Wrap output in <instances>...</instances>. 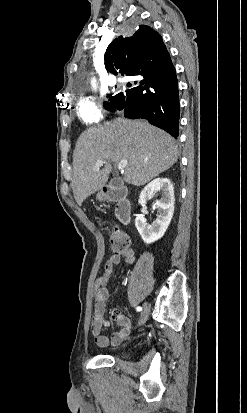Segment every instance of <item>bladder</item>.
<instances>
[{
    "label": "bladder",
    "instance_id": "1",
    "mask_svg": "<svg viewBox=\"0 0 247 413\" xmlns=\"http://www.w3.org/2000/svg\"><path fill=\"white\" fill-rule=\"evenodd\" d=\"M118 354H119V355H122V354H123V352H118Z\"/></svg>",
    "mask_w": 247,
    "mask_h": 413
}]
</instances>
